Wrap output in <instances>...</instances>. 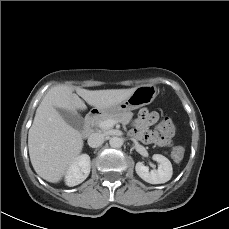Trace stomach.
<instances>
[{
	"mask_svg": "<svg viewBox=\"0 0 229 229\" xmlns=\"http://www.w3.org/2000/svg\"><path fill=\"white\" fill-rule=\"evenodd\" d=\"M158 94V88L153 84H147L137 87L133 93L121 103L97 109L102 115H111L122 112H129L142 106L150 104Z\"/></svg>",
	"mask_w": 229,
	"mask_h": 229,
	"instance_id": "0dacf381",
	"label": "stomach"
}]
</instances>
